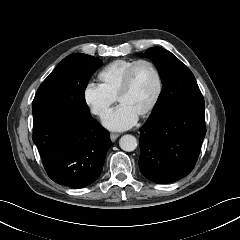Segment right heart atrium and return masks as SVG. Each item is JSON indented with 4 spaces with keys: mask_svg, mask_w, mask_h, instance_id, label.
I'll use <instances>...</instances> for the list:
<instances>
[{
    "mask_svg": "<svg viewBox=\"0 0 240 240\" xmlns=\"http://www.w3.org/2000/svg\"><path fill=\"white\" fill-rule=\"evenodd\" d=\"M84 101L91 112L100 118H104L111 110L116 99L94 83H88L84 89Z\"/></svg>",
    "mask_w": 240,
    "mask_h": 240,
    "instance_id": "1",
    "label": "right heart atrium"
}]
</instances>
